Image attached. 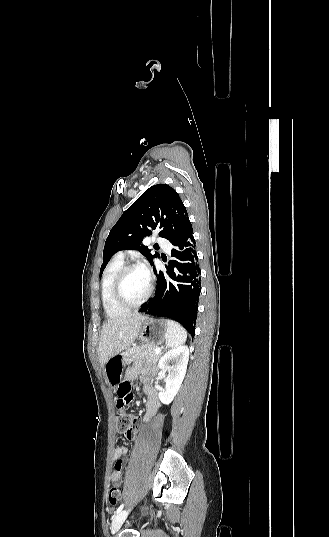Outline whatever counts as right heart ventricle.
Masks as SVG:
<instances>
[{
    "label": "right heart ventricle",
    "instance_id": "e07e8e85",
    "mask_svg": "<svg viewBox=\"0 0 329 537\" xmlns=\"http://www.w3.org/2000/svg\"><path fill=\"white\" fill-rule=\"evenodd\" d=\"M124 265L123 258L114 257L107 265L101 281V301L106 314L109 317L122 316L127 309L118 305L114 297V284L119 270Z\"/></svg>",
    "mask_w": 329,
    "mask_h": 537
}]
</instances>
